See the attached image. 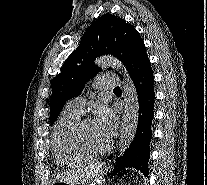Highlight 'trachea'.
Wrapping results in <instances>:
<instances>
[{"mask_svg":"<svg viewBox=\"0 0 207 185\" xmlns=\"http://www.w3.org/2000/svg\"><path fill=\"white\" fill-rule=\"evenodd\" d=\"M114 90H120V87H115Z\"/></svg>","mask_w":207,"mask_h":185,"instance_id":"obj_1","label":"trachea"}]
</instances>
